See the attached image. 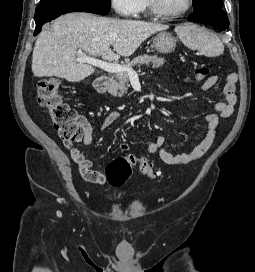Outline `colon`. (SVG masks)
I'll return each instance as SVG.
<instances>
[{"mask_svg": "<svg viewBox=\"0 0 255 272\" xmlns=\"http://www.w3.org/2000/svg\"><path fill=\"white\" fill-rule=\"evenodd\" d=\"M209 74L207 67H198L195 78L204 81ZM62 82L56 77L43 78L37 85V101L49 116L54 130L65 143L79 140L84 127L77 113L66 104L61 95ZM137 166L142 174L154 178L156 172L145 157L119 156L107 165L106 178L110 185L120 187L129 179L132 168Z\"/></svg>", "mask_w": 255, "mask_h": 272, "instance_id": "1", "label": "colon"}]
</instances>
